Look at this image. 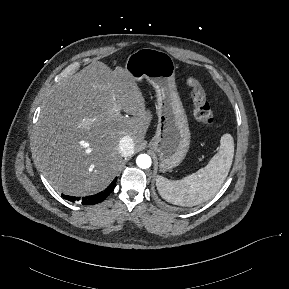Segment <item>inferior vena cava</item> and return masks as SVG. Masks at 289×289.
Wrapping results in <instances>:
<instances>
[{
    "label": "inferior vena cava",
    "mask_w": 289,
    "mask_h": 289,
    "mask_svg": "<svg viewBox=\"0 0 289 289\" xmlns=\"http://www.w3.org/2000/svg\"><path fill=\"white\" fill-rule=\"evenodd\" d=\"M119 151L123 157L130 156L134 153L133 140L129 136H124L119 142Z\"/></svg>",
    "instance_id": "602c4592"
}]
</instances>
